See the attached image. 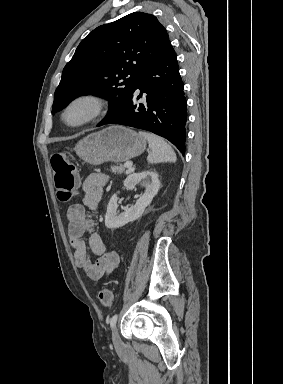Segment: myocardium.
<instances>
[{"label": "myocardium", "mask_w": 283, "mask_h": 384, "mask_svg": "<svg viewBox=\"0 0 283 384\" xmlns=\"http://www.w3.org/2000/svg\"><path fill=\"white\" fill-rule=\"evenodd\" d=\"M78 104H86L89 112L83 120L77 123H69L66 118L67 113ZM105 108L106 102L101 96L93 93L79 94L66 103L61 113V120L69 128H81L99 118L105 111Z\"/></svg>", "instance_id": "1"}]
</instances>
